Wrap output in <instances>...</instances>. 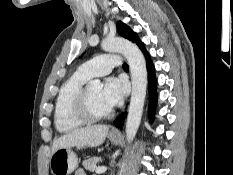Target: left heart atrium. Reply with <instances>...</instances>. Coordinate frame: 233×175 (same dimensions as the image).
<instances>
[{"label":"left heart atrium","mask_w":233,"mask_h":175,"mask_svg":"<svg viewBox=\"0 0 233 175\" xmlns=\"http://www.w3.org/2000/svg\"><path fill=\"white\" fill-rule=\"evenodd\" d=\"M127 92L126 83L118 78L110 77L105 80L101 89L103 102L111 109L120 104Z\"/></svg>","instance_id":"obj_1"}]
</instances>
